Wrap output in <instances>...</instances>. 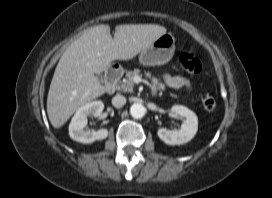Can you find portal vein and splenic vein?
<instances>
[{
    "mask_svg": "<svg viewBox=\"0 0 272 198\" xmlns=\"http://www.w3.org/2000/svg\"><path fill=\"white\" fill-rule=\"evenodd\" d=\"M134 81H135L136 83H139V82L141 81V78H140L139 76H136V77L134 78Z\"/></svg>",
    "mask_w": 272,
    "mask_h": 198,
    "instance_id": "1",
    "label": "portal vein and splenic vein"
}]
</instances>
